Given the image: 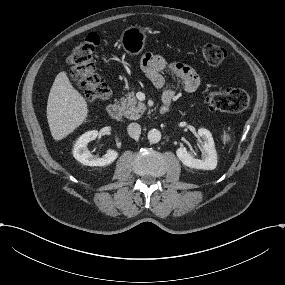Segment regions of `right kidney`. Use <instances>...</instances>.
<instances>
[{
    "mask_svg": "<svg viewBox=\"0 0 285 285\" xmlns=\"http://www.w3.org/2000/svg\"><path fill=\"white\" fill-rule=\"evenodd\" d=\"M97 137L98 131L96 130H91L80 136L73 150V156L78 162L86 166H106L117 159L119 153L114 149L107 150L102 158L94 156L87 150V144L96 140Z\"/></svg>",
    "mask_w": 285,
    "mask_h": 285,
    "instance_id": "right-kidney-1",
    "label": "right kidney"
}]
</instances>
